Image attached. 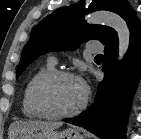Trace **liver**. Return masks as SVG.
<instances>
[{
    "label": "liver",
    "instance_id": "obj_1",
    "mask_svg": "<svg viewBox=\"0 0 141 139\" xmlns=\"http://www.w3.org/2000/svg\"><path fill=\"white\" fill-rule=\"evenodd\" d=\"M62 125V122H47L41 120L18 121L9 128V139H15L27 133L43 130H54Z\"/></svg>",
    "mask_w": 141,
    "mask_h": 139
}]
</instances>
